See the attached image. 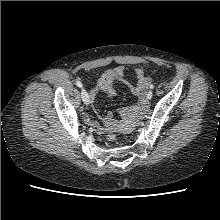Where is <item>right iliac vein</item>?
I'll list each match as a JSON object with an SVG mask.
<instances>
[{"label": "right iliac vein", "mask_w": 220, "mask_h": 220, "mask_svg": "<svg viewBox=\"0 0 220 220\" xmlns=\"http://www.w3.org/2000/svg\"><path fill=\"white\" fill-rule=\"evenodd\" d=\"M81 97H82V100L85 104L88 105L90 103V95L88 94V92L85 89H82Z\"/></svg>", "instance_id": "1"}]
</instances>
